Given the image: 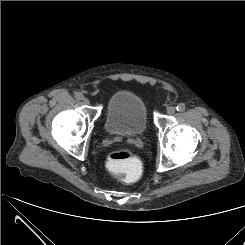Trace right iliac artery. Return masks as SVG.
<instances>
[{"mask_svg": "<svg viewBox=\"0 0 245 245\" xmlns=\"http://www.w3.org/2000/svg\"><path fill=\"white\" fill-rule=\"evenodd\" d=\"M75 98H76L77 100H82V99H83V95H82L81 93H76V94H75Z\"/></svg>", "mask_w": 245, "mask_h": 245, "instance_id": "82829eb1", "label": "right iliac artery"}]
</instances>
